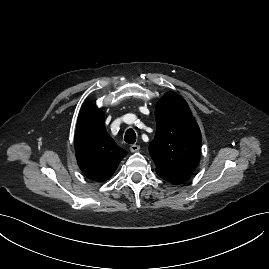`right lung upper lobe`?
Listing matches in <instances>:
<instances>
[{
	"label": "right lung upper lobe",
	"mask_w": 269,
	"mask_h": 269,
	"mask_svg": "<svg viewBox=\"0 0 269 269\" xmlns=\"http://www.w3.org/2000/svg\"><path fill=\"white\" fill-rule=\"evenodd\" d=\"M74 147L82 172L98 182L109 179L127 155L107 133L104 114L89 102L80 110Z\"/></svg>",
	"instance_id": "cb5924a9"
}]
</instances>
